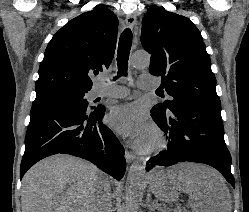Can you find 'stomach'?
Listing matches in <instances>:
<instances>
[{
  "label": "stomach",
  "mask_w": 249,
  "mask_h": 212,
  "mask_svg": "<svg viewBox=\"0 0 249 212\" xmlns=\"http://www.w3.org/2000/svg\"><path fill=\"white\" fill-rule=\"evenodd\" d=\"M150 184V193H160V198H175L178 184H167V179H165L164 175H151Z\"/></svg>",
  "instance_id": "1"
}]
</instances>
